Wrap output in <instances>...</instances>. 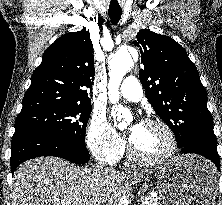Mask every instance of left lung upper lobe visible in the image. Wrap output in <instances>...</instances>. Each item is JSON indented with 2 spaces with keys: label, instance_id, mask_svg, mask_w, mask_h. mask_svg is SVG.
Wrapping results in <instances>:
<instances>
[{
  "label": "left lung upper lobe",
  "instance_id": "obj_1",
  "mask_svg": "<svg viewBox=\"0 0 222 205\" xmlns=\"http://www.w3.org/2000/svg\"><path fill=\"white\" fill-rule=\"evenodd\" d=\"M133 42L140 48V81L156 114L174 132L178 148L202 140L217 146L207 94L186 50L172 38L147 29Z\"/></svg>",
  "mask_w": 222,
  "mask_h": 205
}]
</instances>
